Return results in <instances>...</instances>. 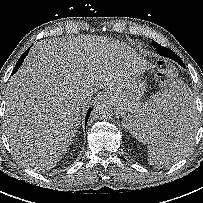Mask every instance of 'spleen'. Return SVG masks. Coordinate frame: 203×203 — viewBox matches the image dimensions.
I'll return each instance as SVG.
<instances>
[{"label":"spleen","mask_w":203,"mask_h":203,"mask_svg":"<svg viewBox=\"0 0 203 203\" xmlns=\"http://www.w3.org/2000/svg\"><path fill=\"white\" fill-rule=\"evenodd\" d=\"M175 114L184 120L188 133L182 139H168L157 142L155 133L163 116ZM195 105L192 92L182 81L173 82L159 95L145 102L130 116V133L143 143H148V160L153 166H168L184 156L193 145L196 128ZM147 138V140H145Z\"/></svg>","instance_id":"1"}]
</instances>
